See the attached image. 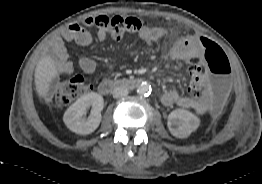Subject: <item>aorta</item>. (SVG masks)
<instances>
[{
  "mask_svg": "<svg viewBox=\"0 0 262 184\" xmlns=\"http://www.w3.org/2000/svg\"><path fill=\"white\" fill-rule=\"evenodd\" d=\"M137 92L140 95H149L151 93V85L148 83H141L137 88Z\"/></svg>",
  "mask_w": 262,
  "mask_h": 184,
  "instance_id": "obj_1",
  "label": "aorta"
}]
</instances>
